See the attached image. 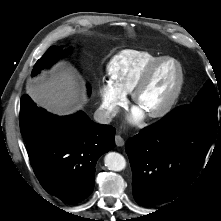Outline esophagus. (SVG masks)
I'll use <instances>...</instances> for the list:
<instances>
[{
  "instance_id": "1",
  "label": "esophagus",
  "mask_w": 221,
  "mask_h": 221,
  "mask_svg": "<svg viewBox=\"0 0 221 221\" xmlns=\"http://www.w3.org/2000/svg\"><path fill=\"white\" fill-rule=\"evenodd\" d=\"M115 143L118 147H121L124 145V139L120 135L115 136Z\"/></svg>"
}]
</instances>
